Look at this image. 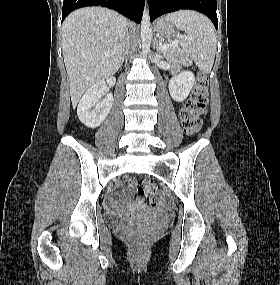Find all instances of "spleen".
<instances>
[{"label": "spleen", "instance_id": "3e777b00", "mask_svg": "<svg viewBox=\"0 0 280 285\" xmlns=\"http://www.w3.org/2000/svg\"><path fill=\"white\" fill-rule=\"evenodd\" d=\"M165 19L177 29L185 31L187 39L182 47L203 73H210L216 53V35L211 21L194 11H178L168 14Z\"/></svg>", "mask_w": 280, "mask_h": 285}]
</instances>
